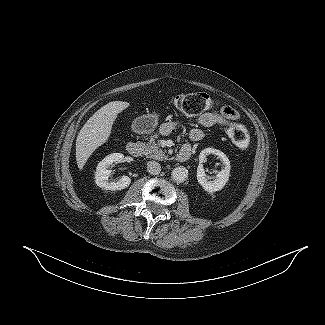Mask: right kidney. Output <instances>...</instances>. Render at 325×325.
I'll list each match as a JSON object with an SVG mask.
<instances>
[{
	"mask_svg": "<svg viewBox=\"0 0 325 325\" xmlns=\"http://www.w3.org/2000/svg\"><path fill=\"white\" fill-rule=\"evenodd\" d=\"M123 160V154L112 153L100 161L95 172V182L97 186L111 191L122 190L128 187L131 183V179L128 176H122L119 180L114 182L108 181V178L111 175V170H108L107 166L113 163H121Z\"/></svg>",
	"mask_w": 325,
	"mask_h": 325,
	"instance_id": "ca27d5eb",
	"label": "right kidney"
}]
</instances>
